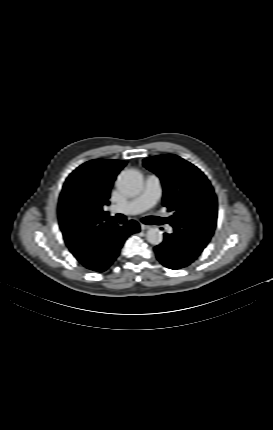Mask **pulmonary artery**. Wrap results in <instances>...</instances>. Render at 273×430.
Masks as SVG:
<instances>
[{
    "label": "pulmonary artery",
    "mask_w": 273,
    "mask_h": 430,
    "mask_svg": "<svg viewBox=\"0 0 273 430\" xmlns=\"http://www.w3.org/2000/svg\"><path fill=\"white\" fill-rule=\"evenodd\" d=\"M161 197V182L155 175H149L146 179L143 192L135 199L113 206V211L124 214H139L156 204ZM167 231L172 232V227L167 226Z\"/></svg>",
    "instance_id": "e3ab8cb5"
}]
</instances>
